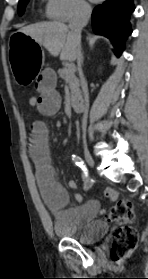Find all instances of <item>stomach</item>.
<instances>
[{"mask_svg": "<svg viewBox=\"0 0 148 279\" xmlns=\"http://www.w3.org/2000/svg\"><path fill=\"white\" fill-rule=\"evenodd\" d=\"M11 39L7 40L11 50H8L11 62V70L19 87H28L36 75L42 72L45 63L42 46L28 34L18 31L11 34Z\"/></svg>", "mask_w": 148, "mask_h": 279, "instance_id": "1", "label": "stomach"}]
</instances>
